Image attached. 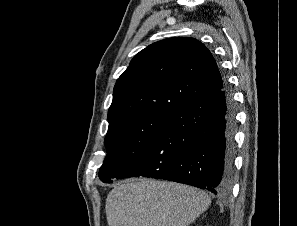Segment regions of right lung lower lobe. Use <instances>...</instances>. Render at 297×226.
<instances>
[{
  "mask_svg": "<svg viewBox=\"0 0 297 226\" xmlns=\"http://www.w3.org/2000/svg\"><path fill=\"white\" fill-rule=\"evenodd\" d=\"M235 116L233 95L227 83L218 92L184 103L116 178L152 177L214 194L226 192L233 176Z\"/></svg>",
  "mask_w": 297,
  "mask_h": 226,
  "instance_id": "98d812e1",
  "label": "right lung lower lobe"
}]
</instances>
